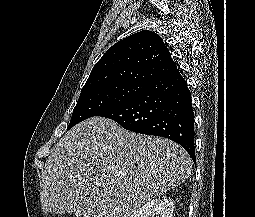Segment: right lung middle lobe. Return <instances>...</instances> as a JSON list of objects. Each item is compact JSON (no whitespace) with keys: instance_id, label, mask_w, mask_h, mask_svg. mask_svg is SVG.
Instances as JSON below:
<instances>
[{"instance_id":"obj_1","label":"right lung middle lobe","mask_w":255,"mask_h":217,"mask_svg":"<svg viewBox=\"0 0 255 217\" xmlns=\"http://www.w3.org/2000/svg\"><path fill=\"white\" fill-rule=\"evenodd\" d=\"M146 85L111 84L95 87L80 93L67 130L77 123L118 108L138 96Z\"/></svg>"}]
</instances>
